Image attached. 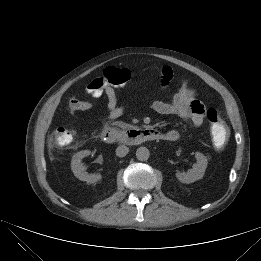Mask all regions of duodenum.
Wrapping results in <instances>:
<instances>
[{
  "mask_svg": "<svg viewBox=\"0 0 261 261\" xmlns=\"http://www.w3.org/2000/svg\"><path fill=\"white\" fill-rule=\"evenodd\" d=\"M101 137L108 143H123L129 145H137L145 141L161 139L159 132L152 129H128L119 130L112 126L105 127L101 132Z\"/></svg>",
  "mask_w": 261,
  "mask_h": 261,
  "instance_id": "obj_1",
  "label": "duodenum"
}]
</instances>
